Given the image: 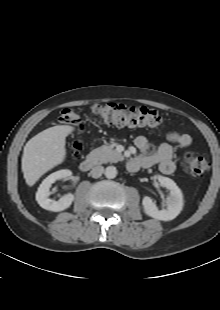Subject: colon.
Instances as JSON below:
<instances>
[{"mask_svg":"<svg viewBox=\"0 0 220 310\" xmlns=\"http://www.w3.org/2000/svg\"><path fill=\"white\" fill-rule=\"evenodd\" d=\"M94 112L106 123L116 126L158 128L164 123L163 117L155 110L146 107H130L116 103L96 105ZM59 122L64 125L82 128L79 115L71 108H65L59 115ZM81 143L74 141L71 147L72 157L78 159L81 155ZM185 168L193 175H203L209 168V162L200 156L189 153L185 156Z\"/></svg>","mask_w":220,"mask_h":310,"instance_id":"1","label":"colon"}]
</instances>
